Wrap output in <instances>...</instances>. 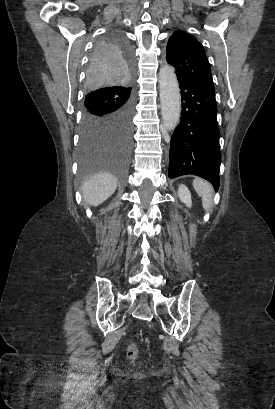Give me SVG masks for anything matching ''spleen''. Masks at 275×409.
Wrapping results in <instances>:
<instances>
[{
    "label": "spleen",
    "instance_id": "3e777b00",
    "mask_svg": "<svg viewBox=\"0 0 275 409\" xmlns=\"http://www.w3.org/2000/svg\"><path fill=\"white\" fill-rule=\"evenodd\" d=\"M193 186L197 194L202 196L203 209L210 211L213 207V188L210 182H206V180H202V178H194Z\"/></svg>",
    "mask_w": 275,
    "mask_h": 409
}]
</instances>
